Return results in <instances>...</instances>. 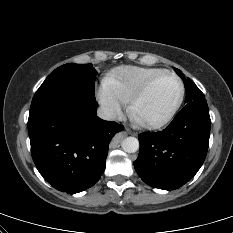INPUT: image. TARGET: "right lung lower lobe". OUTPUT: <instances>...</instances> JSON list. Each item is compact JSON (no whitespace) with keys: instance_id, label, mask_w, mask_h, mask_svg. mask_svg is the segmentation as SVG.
I'll return each mask as SVG.
<instances>
[{"instance_id":"right-lung-lower-lobe-1","label":"right lung lower lobe","mask_w":233,"mask_h":233,"mask_svg":"<svg viewBox=\"0 0 233 233\" xmlns=\"http://www.w3.org/2000/svg\"><path fill=\"white\" fill-rule=\"evenodd\" d=\"M97 102L58 99L30 109L28 132L34 163L59 191L79 193L105 170L108 146L123 126L96 116Z\"/></svg>"}]
</instances>
